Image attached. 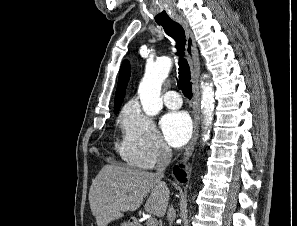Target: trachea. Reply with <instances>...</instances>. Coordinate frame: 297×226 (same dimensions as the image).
I'll return each mask as SVG.
<instances>
[{"label": "trachea", "mask_w": 297, "mask_h": 226, "mask_svg": "<svg viewBox=\"0 0 297 226\" xmlns=\"http://www.w3.org/2000/svg\"><path fill=\"white\" fill-rule=\"evenodd\" d=\"M161 25L165 31V33L173 38L176 42V55L179 57L178 65H179V80H178V87L182 90L183 94L188 98L191 99L192 97V85L190 82V67L186 59L184 58V50L186 44L185 38V31L183 27L175 22V21H168L158 23Z\"/></svg>", "instance_id": "1"}]
</instances>
